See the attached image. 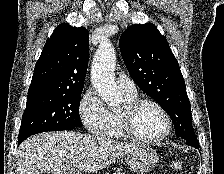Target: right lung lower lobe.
I'll list each match as a JSON object with an SVG mask.
<instances>
[{"mask_svg":"<svg viewBox=\"0 0 224 174\" xmlns=\"http://www.w3.org/2000/svg\"><path fill=\"white\" fill-rule=\"evenodd\" d=\"M69 130H71V129H69ZM25 139H26V137L19 138V139H18V143L21 144Z\"/></svg>","mask_w":224,"mask_h":174,"instance_id":"right-lung-lower-lobe-1","label":"right lung lower lobe"}]
</instances>
